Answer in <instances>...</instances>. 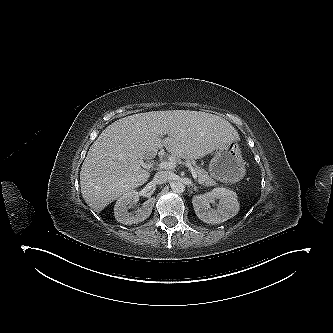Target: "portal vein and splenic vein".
Segmentation results:
<instances>
[{
	"label": "portal vein and splenic vein",
	"instance_id": "portal-vein-and-splenic-vein-1",
	"mask_svg": "<svg viewBox=\"0 0 333 333\" xmlns=\"http://www.w3.org/2000/svg\"><path fill=\"white\" fill-rule=\"evenodd\" d=\"M186 166L190 169L194 180H197L198 176L196 174L195 169L189 164H187ZM159 167L162 169H173L176 167V163L173 161H164V162L159 163Z\"/></svg>",
	"mask_w": 333,
	"mask_h": 333
}]
</instances>
